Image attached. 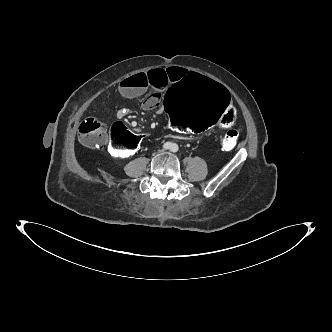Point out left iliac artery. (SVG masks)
<instances>
[{
    "instance_id": "44dca946",
    "label": "left iliac artery",
    "mask_w": 332,
    "mask_h": 332,
    "mask_svg": "<svg viewBox=\"0 0 332 332\" xmlns=\"http://www.w3.org/2000/svg\"><path fill=\"white\" fill-rule=\"evenodd\" d=\"M178 150H179L178 145H177V144H172V146H171V151H172V152H177Z\"/></svg>"
}]
</instances>
